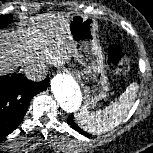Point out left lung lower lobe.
<instances>
[{
	"instance_id": "1",
	"label": "left lung lower lobe",
	"mask_w": 153,
	"mask_h": 153,
	"mask_svg": "<svg viewBox=\"0 0 153 153\" xmlns=\"http://www.w3.org/2000/svg\"><path fill=\"white\" fill-rule=\"evenodd\" d=\"M68 123L72 126V128H74L76 131H78L80 134L85 135V136H89L88 133H86L85 131H83L82 129H80L76 123L73 121V116H69L68 117Z\"/></svg>"
}]
</instances>
